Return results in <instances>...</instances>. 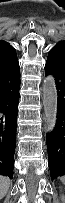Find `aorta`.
Wrapping results in <instances>:
<instances>
[{
  "label": "aorta",
  "mask_w": 65,
  "mask_h": 203,
  "mask_svg": "<svg viewBox=\"0 0 65 203\" xmlns=\"http://www.w3.org/2000/svg\"><path fill=\"white\" fill-rule=\"evenodd\" d=\"M43 107H44V119L45 130L48 133H52L56 127L57 122V88L56 81L52 74L45 77L43 85Z\"/></svg>",
  "instance_id": "obj_1"
}]
</instances>
